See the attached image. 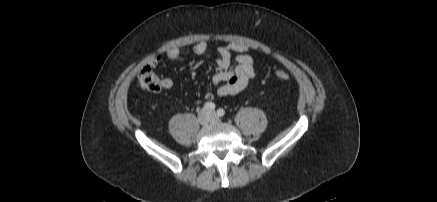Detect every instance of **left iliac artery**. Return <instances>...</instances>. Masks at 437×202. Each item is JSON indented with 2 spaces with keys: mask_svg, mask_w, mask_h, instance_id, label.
Instances as JSON below:
<instances>
[{
  "mask_svg": "<svg viewBox=\"0 0 437 202\" xmlns=\"http://www.w3.org/2000/svg\"><path fill=\"white\" fill-rule=\"evenodd\" d=\"M217 115L220 116V117L224 116V115H225V111H224V109H221V108L218 109V110H217Z\"/></svg>",
  "mask_w": 437,
  "mask_h": 202,
  "instance_id": "1",
  "label": "left iliac artery"
}]
</instances>
